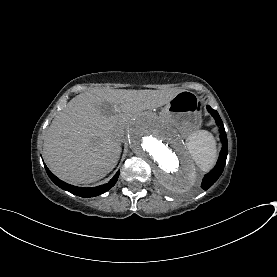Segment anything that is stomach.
I'll return each mask as SVG.
<instances>
[{"instance_id": "stomach-1", "label": "stomach", "mask_w": 277, "mask_h": 277, "mask_svg": "<svg viewBox=\"0 0 277 277\" xmlns=\"http://www.w3.org/2000/svg\"><path fill=\"white\" fill-rule=\"evenodd\" d=\"M161 117L189 136L201 126V103L192 92L180 91L164 106Z\"/></svg>"}]
</instances>
